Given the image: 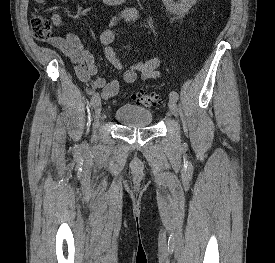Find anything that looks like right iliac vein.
<instances>
[{
    "instance_id": "63e3f726",
    "label": "right iliac vein",
    "mask_w": 275,
    "mask_h": 263,
    "mask_svg": "<svg viewBox=\"0 0 275 263\" xmlns=\"http://www.w3.org/2000/svg\"><path fill=\"white\" fill-rule=\"evenodd\" d=\"M101 113V100L100 98L97 100L95 106H94V127L97 128L99 118Z\"/></svg>"
}]
</instances>
